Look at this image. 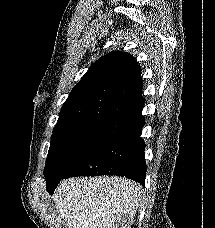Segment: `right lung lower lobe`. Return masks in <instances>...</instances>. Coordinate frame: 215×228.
Returning a JSON list of instances; mask_svg holds the SVG:
<instances>
[{
	"instance_id": "right-lung-lower-lobe-1",
	"label": "right lung lower lobe",
	"mask_w": 215,
	"mask_h": 228,
	"mask_svg": "<svg viewBox=\"0 0 215 228\" xmlns=\"http://www.w3.org/2000/svg\"><path fill=\"white\" fill-rule=\"evenodd\" d=\"M144 121L145 119H142L129 125L118 135L103 143L62 179L75 176L116 175L128 177L145 185V144L140 137Z\"/></svg>"
}]
</instances>
